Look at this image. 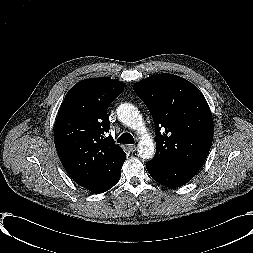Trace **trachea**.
Listing matches in <instances>:
<instances>
[{
    "label": "trachea",
    "mask_w": 253,
    "mask_h": 253,
    "mask_svg": "<svg viewBox=\"0 0 253 253\" xmlns=\"http://www.w3.org/2000/svg\"><path fill=\"white\" fill-rule=\"evenodd\" d=\"M117 143L134 144V138L130 133H123L118 139Z\"/></svg>",
    "instance_id": "1"
}]
</instances>
